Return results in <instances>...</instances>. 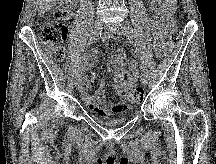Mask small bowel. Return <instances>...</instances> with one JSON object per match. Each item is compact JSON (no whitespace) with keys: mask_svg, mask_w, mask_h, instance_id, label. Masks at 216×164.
<instances>
[{"mask_svg":"<svg viewBox=\"0 0 216 164\" xmlns=\"http://www.w3.org/2000/svg\"><path fill=\"white\" fill-rule=\"evenodd\" d=\"M176 8V0H153V9L156 13L151 21L153 29V46L157 55H161L166 29L173 19ZM95 53V52H94ZM126 54L122 48H118L113 54L111 66L114 70L113 91L121 97L119 102H108L105 99V80L101 81L100 86L90 92L94 82V74L90 73L79 84L81 98L90 111L101 117H110L123 113L128 109L126 93L137 83L138 66L135 61L124 67Z\"/></svg>","mask_w":216,"mask_h":164,"instance_id":"small-bowel-1","label":"small bowel"}]
</instances>
